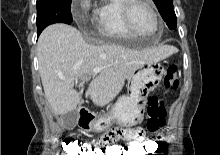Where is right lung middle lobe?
I'll return each instance as SVG.
<instances>
[{
	"instance_id": "dd1d6c3e",
	"label": "right lung middle lobe",
	"mask_w": 220,
	"mask_h": 155,
	"mask_svg": "<svg viewBox=\"0 0 220 155\" xmlns=\"http://www.w3.org/2000/svg\"><path fill=\"white\" fill-rule=\"evenodd\" d=\"M36 7L39 33L50 24L72 22L71 0H37Z\"/></svg>"
}]
</instances>
